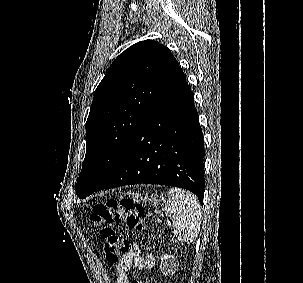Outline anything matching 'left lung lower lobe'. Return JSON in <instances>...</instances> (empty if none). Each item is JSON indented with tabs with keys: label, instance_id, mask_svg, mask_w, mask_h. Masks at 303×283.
Listing matches in <instances>:
<instances>
[{
	"label": "left lung lower lobe",
	"instance_id": "obj_1",
	"mask_svg": "<svg viewBox=\"0 0 303 283\" xmlns=\"http://www.w3.org/2000/svg\"><path fill=\"white\" fill-rule=\"evenodd\" d=\"M204 144L191 89L175 60L110 178L97 190L160 184L190 190L203 203Z\"/></svg>",
	"mask_w": 303,
	"mask_h": 283
}]
</instances>
